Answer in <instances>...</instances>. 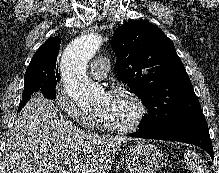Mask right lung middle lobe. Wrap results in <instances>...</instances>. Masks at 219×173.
<instances>
[{
    "mask_svg": "<svg viewBox=\"0 0 219 173\" xmlns=\"http://www.w3.org/2000/svg\"><path fill=\"white\" fill-rule=\"evenodd\" d=\"M24 80L22 97L40 91L46 98L54 99L56 96V85L60 78L55 70L28 66Z\"/></svg>",
    "mask_w": 219,
    "mask_h": 173,
    "instance_id": "dd1d6c3e",
    "label": "right lung middle lobe"
}]
</instances>
